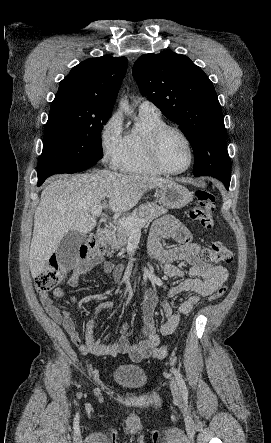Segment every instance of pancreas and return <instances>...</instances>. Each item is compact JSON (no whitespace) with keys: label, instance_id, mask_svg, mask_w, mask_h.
Instances as JSON below:
<instances>
[{"label":"pancreas","instance_id":"obj_1","mask_svg":"<svg viewBox=\"0 0 271 443\" xmlns=\"http://www.w3.org/2000/svg\"><path fill=\"white\" fill-rule=\"evenodd\" d=\"M168 210L166 208H162V206H157V204H145V206H139L137 210H133L132 214H128V218H137V220H146V222H150L153 218H158V216H162V214H167ZM133 229H140V227H122L119 225L118 229H116V233L113 235H107V241H109V245L113 247V249H121L122 245L128 243L129 235L132 233Z\"/></svg>","mask_w":271,"mask_h":443}]
</instances>
